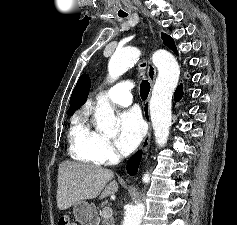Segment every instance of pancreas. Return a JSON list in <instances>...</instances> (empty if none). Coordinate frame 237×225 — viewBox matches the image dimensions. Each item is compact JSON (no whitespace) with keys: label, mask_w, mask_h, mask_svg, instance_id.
<instances>
[{"label":"pancreas","mask_w":237,"mask_h":225,"mask_svg":"<svg viewBox=\"0 0 237 225\" xmlns=\"http://www.w3.org/2000/svg\"><path fill=\"white\" fill-rule=\"evenodd\" d=\"M100 222H101L102 225H115L114 220L111 219V218L104 217L103 212L100 216Z\"/></svg>","instance_id":"pancreas-1"}]
</instances>
